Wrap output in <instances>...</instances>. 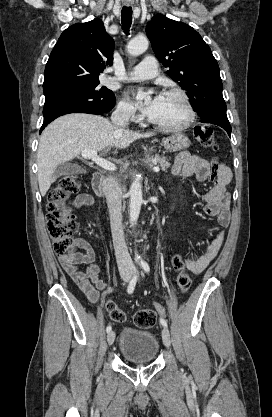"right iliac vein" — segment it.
Wrapping results in <instances>:
<instances>
[{"mask_svg":"<svg viewBox=\"0 0 272 417\" xmlns=\"http://www.w3.org/2000/svg\"><path fill=\"white\" fill-rule=\"evenodd\" d=\"M125 280H129V277H126ZM114 340H115V332L110 331L107 335L108 345H112L114 343Z\"/></svg>","mask_w":272,"mask_h":417,"instance_id":"right-iliac-vein-1","label":"right iliac vein"}]
</instances>
